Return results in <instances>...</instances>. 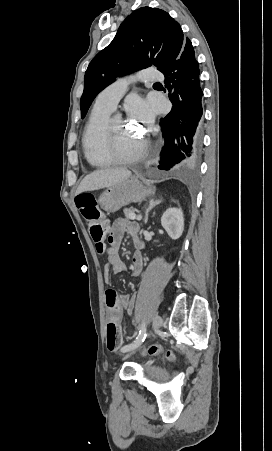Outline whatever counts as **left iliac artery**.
<instances>
[{
  "instance_id": "left-iliac-artery-1",
  "label": "left iliac artery",
  "mask_w": 272,
  "mask_h": 451,
  "mask_svg": "<svg viewBox=\"0 0 272 451\" xmlns=\"http://www.w3.org/2000/svg\"><path fill=\"white\" fill-rule=\"evenodd\" d=\"M145 338H146V326H145V323L143 322L142 325H141L140 331H139V335L136 338V340L133 341L132 343L128 344V345H125L121 349V351L122 352H128V351L138 347L142 342H144Z\"/></svg>"
}]
</instances>
